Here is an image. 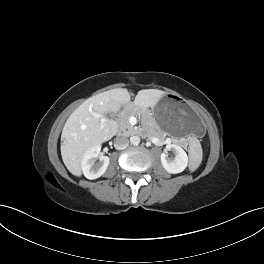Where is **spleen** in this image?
<instances>
[{"instance_id":"spleen-1","label":"spleen","mask_w":264,"mask_h":264,"mask_svg":"<svg viewBox=\"0 0 264 264\" xmlns=\"http://www.w3.org/2000/svg\"><path fill=\"white\" fill-rule=\"evenodd\" d=\"M202 161V148L196 138H192L190 169L196 170Z\"/></svg>"}]
</instances>
